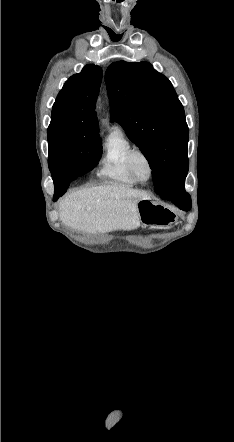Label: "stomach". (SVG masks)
<instances>
[{"instance_id": "stomach-1", "label": "stomach", "mask_w": 234, "mask_h": 442, "mask_svg": "<svg viewBox=\"0 0 234 442\" xmlns=\"http://www.w3.org/2000/svg\"><path fill=\"white\" fill-rule=\"evenodd\" d=\"M140 222L145 225L168 226L177 220L175 212L166 205L150 199H143L137 203Z\"/></svg>"}]
</instances>
